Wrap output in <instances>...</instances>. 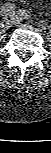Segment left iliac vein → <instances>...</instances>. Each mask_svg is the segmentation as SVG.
<instances>
[{
  "label": "left iliac vein",
  "instance_id": "left-iliac-vein-1",
  "mask_svg": "<svg viewBox=\"0 0 51 153\" xmlns=\"http://www.w3.org/2000/svg\"><path fill=\"white\" fill-rule=\"evenodd\" d=\"M20 17H22L21 13L20 14H16V13L11 14V18L14 20L16 26L23 25V23L20 21Z\"/></svg>",
  "mask_w": 51,
  "mask_h": 153
}]
</instances>
